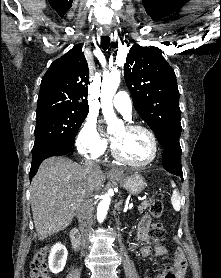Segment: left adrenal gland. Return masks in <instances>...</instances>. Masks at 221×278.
<instances>
[{
	"mask_svg": "<svg viewBox=\"0 0 221 278\" xmlns=\"http://www.w3.org/2000/svg\"><path fill=\"white\" fill-rule=\"evenodd\" d=\"M123 200H120L119 203L117 204L118 210H120V205L122 204Z\"/></svg>",
	"mask_w": 221,
	"mask_h": 278,
	"instance_id": "left-adrenal-gland-1",
	"label": "left adrenal gland"
}]
</instances>
